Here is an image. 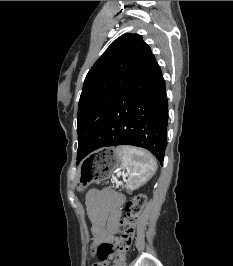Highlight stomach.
Instances as JSON below:
<instances>
[{"label":"stomach","instance_id":"1","mask_svg":"<svg viewBox=\"0 0 233 266\" xmlns=\"http://www.w3.org/2000/svg\"><path fill=\"white\" fill-rule=\"evenodd\" d=\"M116 152L118 147H97V152H89L88 161H83V166L105 167H78L79 185H100V180H110L113 169L121 163V157Z\"/></svg>","mask_w":233,"mask_h":266}]
</instances>
